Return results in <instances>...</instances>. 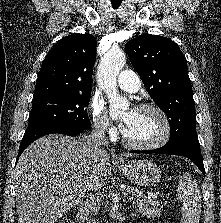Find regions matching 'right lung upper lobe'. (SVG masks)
Wrapping results in <instances>:
<instances>
[{"instance_id": "obj_1", "label": "right lung upper lobe", "mask_w": 221, "mask_h": 223, "mask_svg": "<svg viewBox=\"0 0 221 223\" xmlns=\"http://www.w3.org/2000/svg\"><path fill=\"white\" fill-rule=\"evenodd\" d=\"M96 44L95 37L87 33L58 41L42 63L33 100L91 92Z\"/></svg>"}]
</instances>
